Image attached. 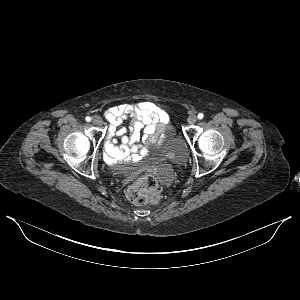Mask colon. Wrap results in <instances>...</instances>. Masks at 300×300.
I'll use <instances>...</instances> for the list:
<instances>
[{
  "mask_svg": "<svg viewBox=\"0 0 300 300\" xmlns=\"http://www.w3.org/2000/svg\"><path fill=\"white\" fill-rule=\"evenodd\" d=\"M127 198L137 205H155L159 201V183L152 175H146L127 189Z\"/></svg>",
  "mask_w": 300,
  "mask_h": 300,
  "instance_id": "obj_1",
  "label": "colon"
}]
</instances>
